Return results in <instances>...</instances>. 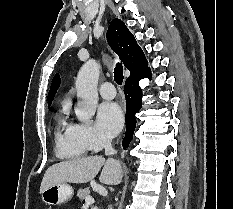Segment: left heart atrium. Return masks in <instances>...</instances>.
<instances>
[{
    "mask_svg": "<svg viewBox=\"0 0 233 209\" xmlns=\"http://www.w3.org/2000/svg\"><path fill=\"white\" fill-rule=\"evenodd\" d=\"M123 114L114 102L100 104L97 111L96 127L100 135L110 139L116 136L123 126Z\"/></svg>",
    "mask_w": 233,
    "mask_h": 209,
    "instance_id": "left-heart-atrium-1",
    "label": "left heart atrium"
}]
</instances>
